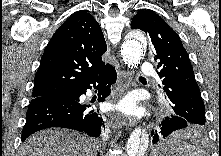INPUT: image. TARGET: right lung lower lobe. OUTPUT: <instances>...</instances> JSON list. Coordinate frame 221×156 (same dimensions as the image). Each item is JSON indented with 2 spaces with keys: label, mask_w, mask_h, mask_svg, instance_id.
Segmentation results:
<instances>
[{
  "label": "right lung lower lobe",
  "mask_w": 221,
  "mask_h": 156,
  "mask_svg": "<svg viewBox=\"0 0 221 156\" xmlns=\"http://www.w3.org/2000/svg\"><path fill=\"white\" fill-rule=\"evenodd\" d=\"M116 71L108 65L99 75L91 78L72 92L56 97H36L31 100L26 114L21 141L32 133L50 127H63L98 137L104 126L99 111L84 103L81 96L92 86L98 92V101H105L110 87L116 81Z\"/></svg>",
  "instance_id": "right-lung-lower-lobe-1"
}]
</instances>
